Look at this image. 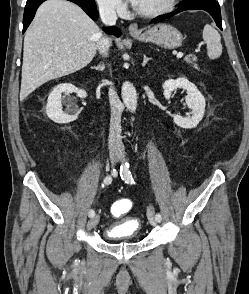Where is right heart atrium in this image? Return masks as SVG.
<instances>
[{
	"instance_id": "right-heart-atrium-1",
	"label": "right heart atrium",
	"mask_w": 249,
	"mask_h": 294,
	"mask_svg": "<svg viewBox=\"0 0 249 294\" xmlns=\"http://www.w3.org/2000/svg\"><path fill=\"white\" fill-rule=\"evenodd\" d=\"M97 5L103 11L110 13H122L126 7L123 0H96Z\"/></svg>"
}]
</instances>
